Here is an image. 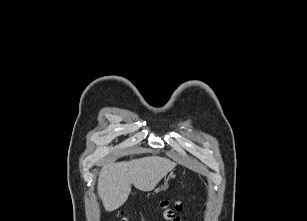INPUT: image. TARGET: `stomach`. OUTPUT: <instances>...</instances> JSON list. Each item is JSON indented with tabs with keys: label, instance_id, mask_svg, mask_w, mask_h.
<instances>
[{
	"label": "stomach",
	"instance_id": "1",
	"mask_svg": "<svg viewBox=\"0 0 307 221\" xmlns=\"http://www.w3.org/2000/svg\"><path fill=\"white\" fill-rule=\"evenodd\" d=\"M172 178V175H170L168 178H165L161 186L158 188L159 191H165L169 187V181Z\"/></svg>",
	"mask_w": 307,
	"mask_h": 221
}]
</instances>
